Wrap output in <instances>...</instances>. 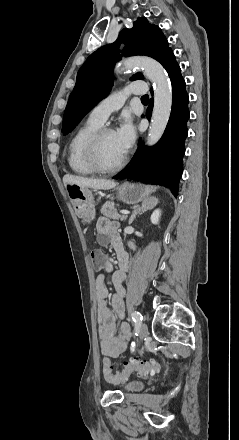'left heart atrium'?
Listing matches in <instances>:
<instances>
[{"mask_svg": "<svg viewBox=\"0 0 239 440\" xmlns=\"http://www.w3.org/2000/svg\"><path fill=\"white\" fill-rule=\"evenodd\" d=\"M114 133L121 148L126 153L132 147L135 139V128L128 114L122 116Z\"/></svg>", "mask_w": 239, "mask_h": 440, "instance_id": "obj_1", "label": "left heart atrium"}]
</instances>
